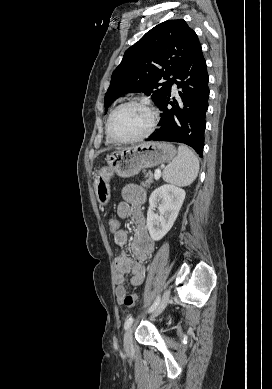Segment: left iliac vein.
<instances>
[{"label":"left iliac vein","mask_w":272,"mask_h":389,"mask_svg":"<svg viewBox=\"0 0 272 389\" xmlns=\"http://www.w3.org/2000/svg\"><path fill=\"white\" fill-rule=\"evenodd\" d=\"M170 292L167 290L164 295L162 296V299L157 306V308L154 311V316L159 315L166 307L168 301H169ZM132 327L128 328L127 331L124 334V350L126 353H131L133 350V342H132Z\"/></svg>","instance_id":"left-iliac-vein-1"}]
</instances>
